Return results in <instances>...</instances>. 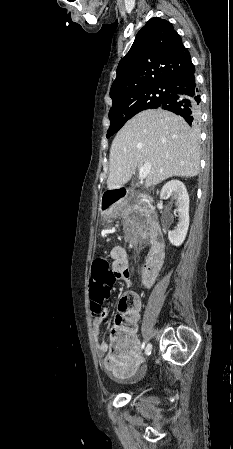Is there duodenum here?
Wrapping results in <instances>:
<instances>
[{
  "label": "duodenum",
  "instance_id": "duodenum-1",
  "mask_svg": "<svg viewBox=\"0 0 233 449\" xmlns=\"http://www.w3.org/2000/svg\"><path fill=\"white\" fill-rule=\"evenodd\" d=\"M144 199L141 194L131 191L129 186H111L110 191H104L101 204L104 208L123 204L124 200ZM146 230L150 239L151 247L146 257V263L142 272H155L158 275L164 259V242L160 225L154 216L148 217Z\"/></svg>",
  "mask_w": 233,
  "mask_h": 449
}]
</instances>
